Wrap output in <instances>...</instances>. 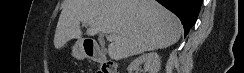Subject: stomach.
I'll return each instance as SVG.
<instances>
[{"instance_id":"0dacf381","label":"stomach","mask_w":244,"mask_h":73,"mask_svg":"<svg viewBox=\"0 0 244 73\" xmlns=\"http://www.w3.org/2000/svg\"><path fill=\"white\" fill-rule=\"evenodd\" d=\"M72 54L77 59H84L88 56L86 49L84 47L83 41H77L73 48H72Z\"/></svg>"}]
</instances>
